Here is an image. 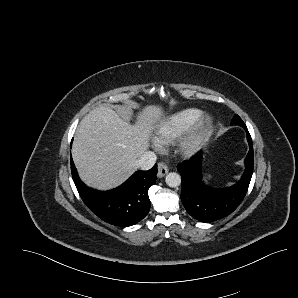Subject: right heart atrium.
I'll list each match as a JSON object with an SVG mask.
<instances>
[{
	"instance_id": "obj_1",
	"label": "right heart atrium",
	"mask_w": 298,
	"mask_h": 298,
	"mask_svg": "<svg viewBox=\"0 0 298 298\" xmlns=\"http://www.w3.org/2000/svg\"><path fill=\"white\" fill-rule=\"evenodd\" d=\"M146 142L155 153L162 152L166 147V141L157 131L150 132L146 137Z\"/></svg>"
}]
</instances>
